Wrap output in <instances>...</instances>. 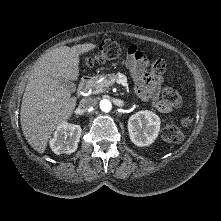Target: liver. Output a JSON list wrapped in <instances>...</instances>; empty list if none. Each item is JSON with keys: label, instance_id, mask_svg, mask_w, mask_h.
<instances>
[{"label": "liver", "instance_id": "obj_1", "mask_svg": "<svg viewBox=\"0 0 221 221\" xmlns=\"http://www.w3.org/2000/svg\"><path fill=\"white\" fill-rule=\"evenodd\" d=\"M97 47L93 43L62 46L39 58L23 94L20 122L30 146L44 153L48 140L57 127L68 120L76 107V97L60 79L77 80L80 55Z\"/></svg>", "mask_w": 221, "mask_h": 221}]
</instances>
